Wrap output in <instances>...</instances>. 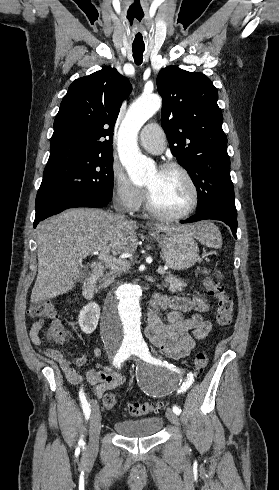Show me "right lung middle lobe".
I'll return each instance as SVG.
<instances>
[{
    "mask_svg": "<svg viewBox=\"0 0 279 490\" xmlns=\"http://www.w3.org/2000/svg\"><path fill=\"white\" fill-rule=\"evenodd\" d=\"M113 178V149L47 163L36 196V209L54 196L84 194L109 202Z\"/></svg>",
    "mask_w": 279,
    "mask_h": 490,
    "instance_id": "right-lung-middle-lobe-1",
    "label": "right lung middle lobe"
}]
</instances>
